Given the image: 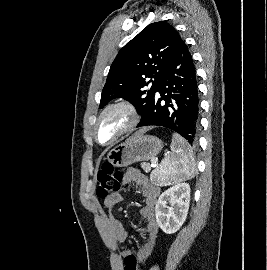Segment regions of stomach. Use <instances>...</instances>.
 <instances>
[{"instance_id": "1", "label": "stomach", "mask_w": 267, "mask_h": 270, "mask_svg": "<svg viewBox=\"0 0 267 270\" xmlns=\"http://www.w3.org/2000/svg\"><path fill=\"white\" fill-rule=\"evenodd\" d=\"M163 148V142L156 136L140 135L132 137L113 148L107 156L115 167H125L139 161L155 158Z\"/></svg>"}]
</instances>
